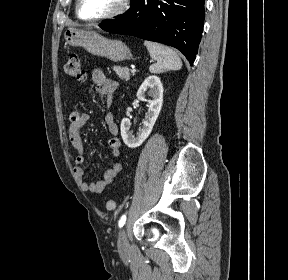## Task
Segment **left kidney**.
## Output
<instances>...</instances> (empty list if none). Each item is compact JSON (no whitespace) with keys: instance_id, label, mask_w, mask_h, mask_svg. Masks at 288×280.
I'll return each instance as SVG.
<instances>
[{"instance_id":"left-kidney-1","label":"left kidney","mask_w":288,"mask_h":280,"mask_svg":"<svg viewBox=\"0 0 288 280\" xmlns=\"http://www.w3.org/2000/svg\"><path fill=\"white\" fill-rule=\"evenodd\" d=\"M146 94L151 97L148 100V112L136 136L130 131L131 122L128 118H124L121 122V136L129 148H136L147 139L159 116L163 104V85L159 77L149 76L144 80L137 92L138 100L145 101Z\"/></svg>"}]
</instances>
